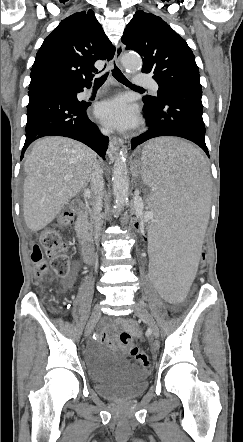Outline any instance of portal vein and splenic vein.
Masks as SVG:
<instances>
[{
  "instance_id": "obj_1",
  "label": "portal vein and splenic vein",
  "mask_w": 243,
  "mask_h": 442,
  "mask_svg": "<svg viewBox=\"0 0 243 442\" xmlns=\"http://www.w3.org/2000/svg\"><path fill=\"white\" fill-rule=\"evenodd\" d=\"M70 177H71V175L67 176V177H66V180H68Z\"/></svg>"
}]
</instances>
